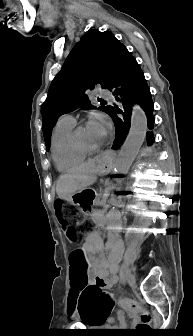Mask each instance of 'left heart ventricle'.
<instances>
[{"mask_svg":"<svg viewBox=\"0 0 193 336\" xmlns=\"http://www.w3.org/2000/svg\"><path fill=\"white\" fill-rule=\"evenodd\" d=\"M79 139L88 146H96L101 143V140L90 131L88 126L82 128L78 133Z\"/></svg>","mask_w":193,"mask_h":336,"instance_id":"obj_1","label":"left heart ventricle"}]
</instances>
